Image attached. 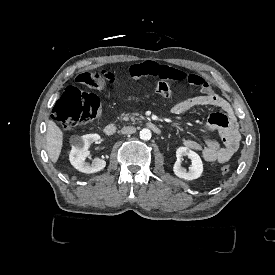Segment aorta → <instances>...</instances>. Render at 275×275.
Here are the masks:
<instances>
[{
  "label": "aorta",
  "instance_id": "obj_1",
  "mask_svg": "<svg viewBox=\"0 0 275 275\" xmlns=\"http://www.w3.org/2000/svg\"><path fill=\"white\" fill-rule=\"evenodd\" d=\"M140 139L142 140H150L151 139V131L149 129H142L140 131Z\"/></svg>",
  "mask_w": 275,
  "mask_h": 275
}]
</instances>
